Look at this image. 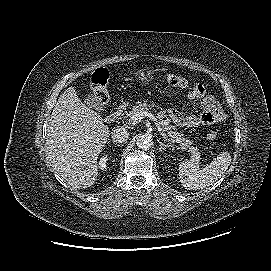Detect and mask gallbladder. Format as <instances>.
<instances>
[{
  "mask_svg": "<svg viewBox=\"0 0 271 271\" xmlns=\"http://www.w3.org/2000/svg\"><path fill=\"white\" fill-rule=\"evenodd\" d=\"M84 102L92 109L99 111L103 109V106L100 104L97 97L94 96L93 94H87L84 99Z\"/></svg>",
  "mask_w": 271,
  "mask_h": 271,
  "instance_id": "1",
  "label": "gallbladder"
}]
</instances>
